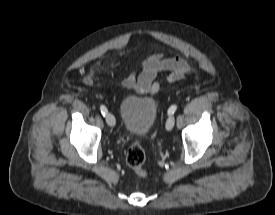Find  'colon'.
<instances>
[{
    "label": "colon",
    "mask_w": 275,
    "mask_h": 215,
    "mask_svg": "<svg viewBox=\"0 0 275 215\" xmlns=\"http://www.w3.org/2000/svg\"><path fill=\"white\" fill-rule=\"evenodd\" d=\"M145 152L140 140H135L129 147L126 162L139 178H146L148 172L144 167Z\"/></svg>",
    "instance_id": "colon-1"
}]
</instances>
